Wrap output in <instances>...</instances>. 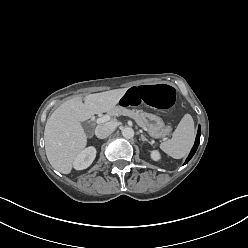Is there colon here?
I'll return each instance as SVG.
<instances>
[{
  "mask_svg": "<svg viewBox=\"0 0 248 248\" xmlns=\"http://www.w3.org/2000/svg\"><path fill=\"white\" fill-rule=\"evenodd\" d=\"M120 103L124 107L149 104L158 109L169 110L176 107L177 94L176 90L167 84L145 85L129 89L121 96Z\"/></svg>",
  "mask_w": 248,
  "mask_h": 248,
  "instance_id": "colon-1",
  "label": "colon"
}]
</instances>
